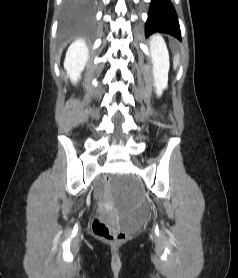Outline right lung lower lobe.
<instances>
[{
	"label": "right lung lower lobe",
	"instance_id": "right-lung-lower-lobe-1",
	"mask_svg": "<svg viewBox=\"0 0 238 278\" xmlns=\"http://www.w3.org/2000/svg\"><path fill=\"white\" fill-rule=\"evenodd\" d=\"M93 0H68L65 26L78 28L88 25L92 20Z\"/></svg>",
	"mask_w": 238,
	"mask_h": 278
}]
</instances>
